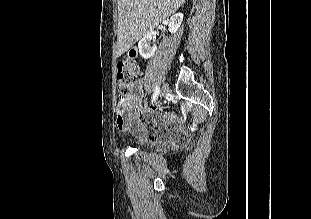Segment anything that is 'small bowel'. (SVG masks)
I'll use <instances>...</instances> for the list:
<instances>
[{
  "label": "small bowel",
  "mask_w": 311,
  "mask_h": 219,
  "mask_svg": "<svg viewBox=\"0 0 311 219\" xmlns=\"http://www.w3.org/2000/svg\"><path fill=\"white\" fill-rule=\"evenodd\" d=\"M145 104L143 87L140 81H135L131 98L127 103H118L116 108V126L121 131L131 130L138 139L144 140L150 136H167L169 141L175 142L177 136L173 132L163 133L162 125H176L178 119L175 115L164 116L153 111L148 116L142 115ZM154 127V129H153Z\"/></svg>",
  "instance_id": "small-bowel-1"
}]
</instances>
